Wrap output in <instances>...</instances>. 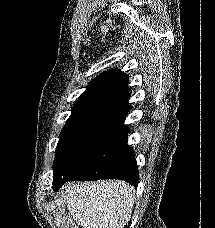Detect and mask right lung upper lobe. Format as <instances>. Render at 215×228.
<instances>
[{
    "instance_id": "right-lung-upper-lobe-1",
    "label": "right lung upper lobe",
    "mask_w": 215,
    "mask_h": 228,
    "mask_svg": "<svg viewBox=\"0 0 215 228\" xmlns=\"http://www.w3.org/2000/svg\"><path fill=\"white\" fill-rule=\"evenodd\" d=\"M128 76L118 69L91 81L72 107L63 130L94 121L123 123L129 112Z\"/></svg>"
}]
</instances>
